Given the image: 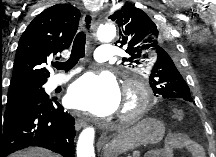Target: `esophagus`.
<instances>
[{
    "label": "esophagus",
    "instance_id": "esophagus-1",
    "mask_svg": "<svg viewBox=\"0 0 216 157\" xmlns=\"http://www.w3.org/2000/svg\"><path fill=\"white\" fill-rule=\"evenodd\" d=\"M96 12H87L82 19V28L85 31L92 30L94 27V20L96 18ZM86 126V120L77 118L75 121V129L79 131L81 128Z\"/></svg>",
    "mask_w": 216,
    "mask_h": 157
}]
</instances>
